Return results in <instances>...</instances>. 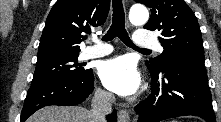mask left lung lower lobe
Here are the masks:
<instances>
[{"instance_id": "0a47b994", "label": "left lung lower lobe", "mask_w": 221, "mask_h": 122, "mask_svg": "<svg viewBox=\"0 0 221 122\" xmlns=\"http://www.w3.org/2000/svg\"><path fill=\"white\" fill-rule=\"evenodd\" d=\"M163 72L165 80L151 71L152 92L136 106L139 122H158L183 115L216 122L204 66L181 62L166 67Z\"/></svg>"}]
</instances>
